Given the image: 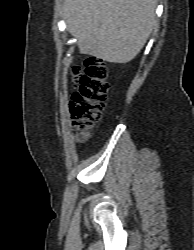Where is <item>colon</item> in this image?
<instances>
[{"instance_id":"1","label":"colon","mask_w":194,"mask_h":250,"mask_svg":"<svg viewBox=\"0 0 194 250\" xmlns=\"http://www.w3.org/2000/svg\"><path fill=\"white\" fill-rule=\"evenodd\" d=\"M72 82L77 86L70 102V115L81 138L88 137L94 124L100 120L108 91L109 69L97 58L89 57L84 68L74 66Z\"/></svg>"}]
</instances>
